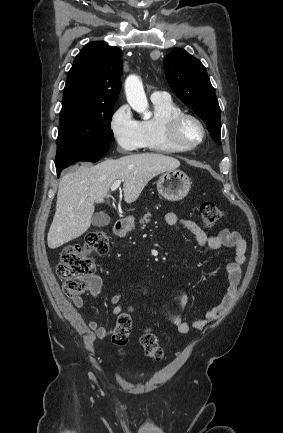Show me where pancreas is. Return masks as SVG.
<instances>
[{
  "label": "pancreas",
  "mask_w": 283,
  "mask_h": 433,
  "mask_svg": "<svg viewBox=\"0 0 283 433\" xmlns=\"http://www.w3.org/2000/svg\"><path fill=\"white\" fill-rule=\"evenodd\" d=\"M150 217H151V212H147V214H144L143 219H140L139 221L140 225H146V223H150Z\"/></svg>",
  "instance_id": "cf45deb5"
}]
</instances>
